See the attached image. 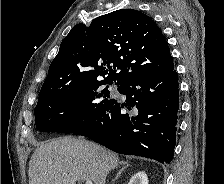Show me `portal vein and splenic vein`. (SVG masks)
<instances>
[{"label": "portal vein and splenic vein", "instance_id": "portal-vein-and-splenic-vein-1", "mask_svg": "<svg viewBox=\"0 0 224 184\" xmlns=\"http://www.w3.org/2000/svg\"><path fill=\"white\" fill-rule=\"evenodd\" d=\"M85 184H93V183H92V181H89V180H88V181H86Z\"/></svg>", "mask_w": 224, "mask_h": 184}]
</instances>
